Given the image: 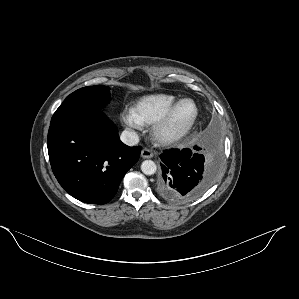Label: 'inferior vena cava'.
Masks as SVG:
<instances>
[{"mask_svg": "<svg viewBox=\"0 0 299 299\" xmlns=\"http://www.w3.org/2000/svg\"><path fill=\"white\" fill-rule=\"evenodd\" d=\"M120 139L124 144H126L128 146H134V145L138 144V142H139L138 134L134 130H131V129L124 130L121 133Z\"/></svg>", "mask_w": 299, "mask_h": 299, "instance_id": "inferior-vena-cava-1", "label": "inferior vena cava"}]
</instances>
